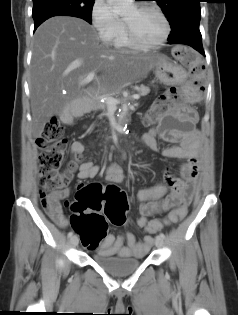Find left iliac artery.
Segmentation results:
<instances>
[{
    "mask_svg": "<svg viewBox=\"0 0 238 315\" xmlns=\"http://www.w3.org/2000/svg\"><path fill=\"white\" fill-rule=\"evenodd\" d=\"M159 237H161L162 239H164V238H165V235H164L163 233H160V234H159Z\"/></svg>",
    "mask_w": 238,
    "mask_h": 315,
    "instance_id": "left-iliac-artery-1",
    "label": "left iliac artery"
}]
</instances>
